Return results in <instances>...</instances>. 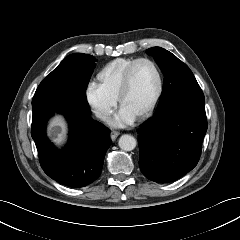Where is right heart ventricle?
I'll list each match as a JSON object with an SVG mask.
<instances>
[{
	"label": "right heart ventricle",
	"mask_w": 240,
	"mask_h": 240,
	"mask_svg": "<svg viewBox=\"0 0 240 240\" xmlns=\"http://www.w3.org/2000/svg\"><path fill=\"white\" fill-rule=\"evenodd\" d=\"M135 58H117L104 65L97 73L98 85L111 97L117 99L127 67Z\"/></svg>",
	"instance_id": "1"
}]
</instances>
